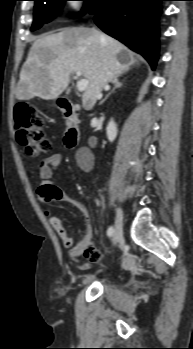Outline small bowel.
<instances>
[{
  "label": "small bowel",
  "mask_w": 193,
  "mask_h": 349,
  "mask_svg": "<svg viewBox=\"0 0 193 349\" xmlns=\"http://www.w3.org/2000/svg\"><path fill=\"white\" fill-rule=\"evenodd\" d=\"M61 161V154H53L41 162L39 166L41 182L38 187V200L41 203H50L54 201L67 202L75 206L82 213H87V206L83 201L54 185V170L60 165ZM93 162V157L88 152H83L78 157L79 166L84 171H90L93 167ZM49 222L59 236L62 245L69 249L68 254L73 260L78 261L79 257L82 255L88 260L79 264L81 269H88L91 261H96L101 258V253L90 246L87 238H84L81 242L74 245L72 237L64 227L60 218L50 216Z\"/></svg>",
  "instance_id": "obj_1"
}]
</instances>
